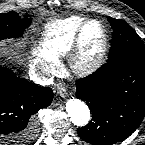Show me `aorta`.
<instances>
[{"label": "aorta", "mask_w": 145, "mask_h": 145, "mask_svg": "<svg viewBox=\"0 0 145 145\" xmlns=\"http://www.w3.org/2000/svg\"><path fill=\"white\" fill-rule=\"evenodd\" d=\"M66 111L71 122L76 126H85L90 121L91 115L88 106L79 99H69Z\"/></svg>", "instance_id": "obj_1"}]
</instances>
